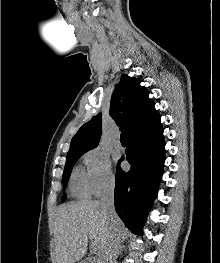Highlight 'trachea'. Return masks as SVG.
Wrapping results in <instances>:
<instances>
[{
  "mask_svg": "<svg viewBox=\"0 0 220 263\" xmlns=\"http://www.w3.org/2000/svg\"><path fill=\"white\" fill-rule=\"evenodd\" d=\"M120 141H121L122 143L126 142V134H125L124 132L121 133Z\"/></svg>",
  "mask_w": 220,
  "mask_h": 263,
  "instance_id": "3493384b",
  "label": "trachea"
}]
</instances>
